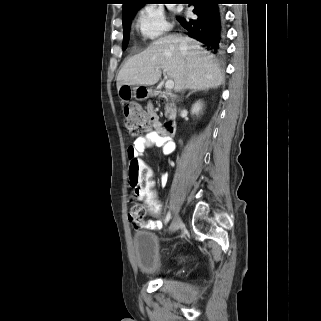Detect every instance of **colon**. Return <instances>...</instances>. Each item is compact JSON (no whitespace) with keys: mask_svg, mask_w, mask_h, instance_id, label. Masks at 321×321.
I'll use <instances>...</instances> for the list:
<instances>
[{"mask_svg":"<svg viewBox=\"0 0 321 321\" xmlns=\"http://www.w3.org/2000/svg\"><path fill=\"white\" fill-rule=\"evenodd\" d=\"M154 121L152 114L144 111L141 106L135 103L127 104L124 107V125L130 135L136 136L148 129ZM129 181L134 189L136 198H143L144 208L133 202L128 217L135 226L142 222L145 211L149 216H159L165 212V205L159 201V192L154 191L156 182L151 179V172L147 165L137 156L129 157Z\"/></svg>","mask_w":321,"mask_h":321,"instance_id":"5ec220e1","label":"colon"}]
</instances>
